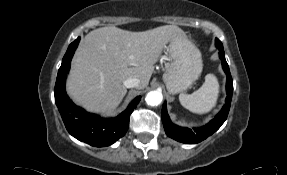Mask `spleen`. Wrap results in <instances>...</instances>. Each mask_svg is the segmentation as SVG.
<instances>
[{"label":"spleen","mask_w":287,"mask_h":175,"mask_svg":"<svg viewBox=\"0 0 287 175\" xmlns=\"http://www.w3.org/2000/svg\"><path fill=\"white\" fill-rule=\"evenodd\" d=\"M219 95V83L215 75L207 74L203 85L192 94L181 93L183 107L197 114L210 112L216 105Z\"/></svg>","instance_id":"3e777b00"}]
</instances>
